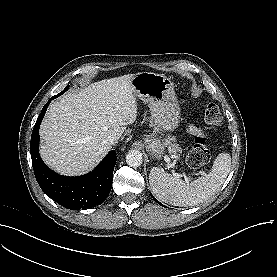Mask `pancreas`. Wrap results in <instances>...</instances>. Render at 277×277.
Here are the masks:
<instances>
[{
  "label": "pancreas",
  "mask_w": 277,
  "mask_h": 277,
  "mask_svg": "<svg viewBox=\"0 0 277 277\" xmlns=\"http://www.w3.org/2000/svg\"><path fill=\"white\" fill-rule=\"evenodd\" d=\"M175 138L171 136H167L164 139V145L168 148V151L171 155H173L176 159L178 158L177 153L182 151V148L179 147L177 143H175Z\"/></svg>",
  "instance_id": "pancreas-1"
}]
</instances>
